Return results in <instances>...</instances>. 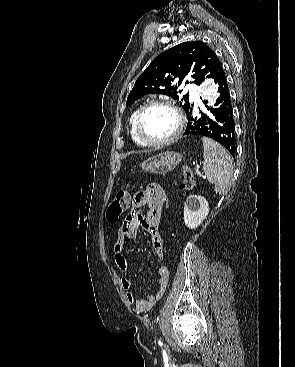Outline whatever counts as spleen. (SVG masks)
I'll list each match as a JSON object with an SVG mask.
<instances>
[{
    "mask_svg": "<svg viewBox=\"0 0 295 367\" xmlns=\"http://www.w3.org/2000/svg\"><path fill=\"white\" fill-rule=\"evenodd\" d=\"M203 170L210 183L215 185V193L219 195L228 191L233 176L232 159L226 150L212 139L202 137Z\"/></svg>",
    "mask_w": 295,
    "mask_h": 367,
    "instance_id": "obj_1",
    "label": "spleen"
}]
</instances>
